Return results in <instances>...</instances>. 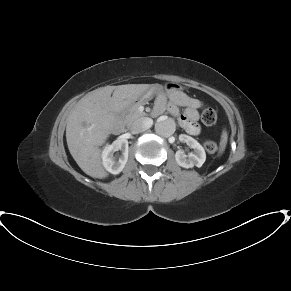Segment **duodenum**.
I'll return each instance as SVG.
<instances>
[{
	"instance_id": "410a0bca",
	"label": "duodenum",
	"mask_w": 291,
	"mask_h": 291,
	"mask_svg": "<svg viewBox=\"0 0 291 291\" xmlns=\"http://www.w3.org/2000/svg\"><path fill=\"white\" fill-rule=\"evenodd\" d=\"M111 129L114 134H121L126 131V126L124 122L122 121L120 112L118 110L115 112Z\"/></svg>"
}]
</instances>
